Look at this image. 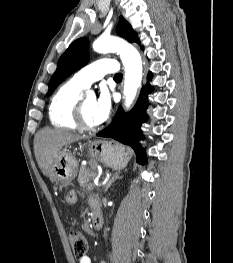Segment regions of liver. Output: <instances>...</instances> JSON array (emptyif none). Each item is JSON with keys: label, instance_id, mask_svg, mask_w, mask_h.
Here are the masks:
<instances>
[{"label": "liver", "instance_id": "liver-1", "mask_svg": "<svg viewBox=\"0 0 233 263\" xmlns=\"http://www.w3.org/2000/svg\"><path fill=\"white\" fill-rule=\"evenodd\" d=\"M85 138L87 137L66 130L41 129L34 139V153L43 175L48 176L63 146Z\"/></svg>", "mask_w": 233, "mask_h": 263}]
</instances>
